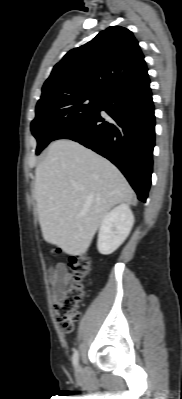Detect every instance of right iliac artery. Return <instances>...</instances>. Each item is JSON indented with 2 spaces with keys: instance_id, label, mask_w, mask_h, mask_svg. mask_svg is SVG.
<instances>
[{
  "instance_id": "obj_1",
  "label": "right iliac artery",
  "mask_w": 182,
  "mask_h": 399,
  "mask_svg": "<svg viewBox=\"0 0 182 399\" xmlns=\"http://www.w3.org/2000/svg\"><path fill=\"white\" fill-rule=\"evenodd\" d=\"M78 360H79V353L78 351H75L72 357V361H73V365L76 367L78 364Z\"/></svg>"
}]
</instances>
